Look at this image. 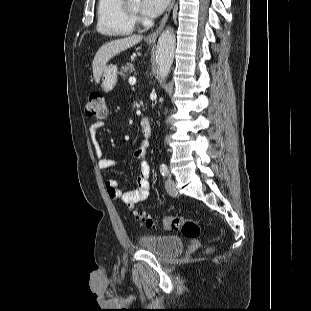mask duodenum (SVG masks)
Returning a JSON list of instances; mask_svg holds the SVG:
<instances>
[{"instance_id": "obj_1", "label": "duodenum", "mask_w": 311, "mask_h": 311, "mask_svg": "<svg viewBox=\"0 0 311 311\" xmlns=\"http://www.w3.org/2000/svg\"><path fill=\"white\" fill-rule=\"evenodd\" d=\"M141 129H142L144 139L148 140L152 132V126H151L150 121L147 118H143L141 120Z\"/></svg>"}]
</instances>
